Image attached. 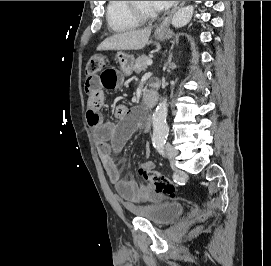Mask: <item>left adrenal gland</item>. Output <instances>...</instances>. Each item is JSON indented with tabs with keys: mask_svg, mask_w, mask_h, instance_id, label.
Segmentation results:
<instances>
[{
	"mask_svg": "<svg viewBox=\"0 0 271 266\" xmlns=\"http://www.w3.org/2000/svg\"><path fill=\"white\" fill-rule=\"evenodd\" d=\"M171 60H172V55L169 56V59H168L169 63L171 62Z\"/></svg>",
	"mask_w": 271,
	"mask_h": 266,
	"instance_id": "a2214340",
	"label": "left adrenal gland"
}]
</instances>
